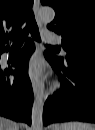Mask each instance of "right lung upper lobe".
Returning a JSON list of instances; mask_svg holds the SVG:
<instances>
[{
	"mask_svg": "<svg viewBox=\"0 0 95 130\" xmlns=\"http://www.w3.org/2000/svg\"><path fill=\"white\" fill-rule=\"evenodd\" d=\"M32 4L33 0H0V52L8 50L5 43L21 31Z\"/></svg>",
	"mask_w": 95,
	"mask_h": 130,
	"instance_id": "right-lung-upper-lobe-1",
	"label": "right lung upper lobe"
}]
</instances>
